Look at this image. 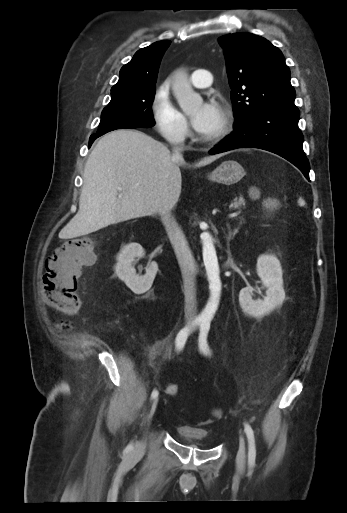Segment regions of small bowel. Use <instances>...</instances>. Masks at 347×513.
<instances>
[{"mask_svg": "<svg viewBox=\"0 0 347 513\" xmlns=\"http://www.w3.org/2000/svg\"><path fill=\"white\" fill-rule=\"evenodd\" d=\"M61 325L65 328H69V324L67 322H61ZM162 349H163V343L162 342H159V343H156L150 347L147 348V351L149 353V355L152 357V358H156L158 356L161 355L162 353Z\"/></svg>", "mask_w": 347, "mask_h": 513, "instance_id": "c3829d8e", "label": "small bowel"}]
</instances>
